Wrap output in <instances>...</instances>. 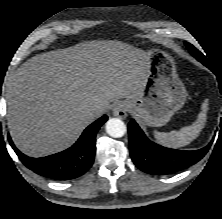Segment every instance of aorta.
Masks as SVG:
<instances>
[{"instance_id": "aorta-1", "label": "aorta", "mask_w": 222, "mask_h": 219, "mask_svg": "<svg viewBox=\"0 0 222 219\" xmlns=\"http://www.w3.org/2000/svg\"><path fill=\"white\" fill-rule=\"evenodd\" d=\"M106 132L114 138H119L124 136L126 132V125L125 123L120 120L119 118H110L106 122Z\"/></svg>"}]
</instances>
